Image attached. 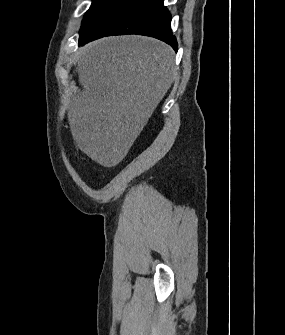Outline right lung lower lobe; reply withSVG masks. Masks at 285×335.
Masks as SVG:
<instances>
[{"label": "right lung lower lobe", "mask_w": 285, "mask_h": 335, "mask_svg": "<svg viewBox=\"0 0 285 335\" xmlns=\"http://www.w3.org/2000/svg\"><path fill=\"white\" fill-rule=\"evenodd\" d=\"M163 1L121 0L89 30L79 45L105 36L139 34L164 41L177 51V41L171 30V15Z\"/></svg>", "instance_id": "right-lung-lower-lobe-1"}]
</instances>
